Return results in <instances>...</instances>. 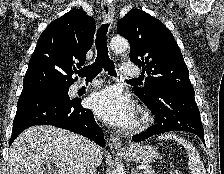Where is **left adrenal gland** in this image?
<instances>
[{"label": "left adrenal gland", "mask_w": 224, "mask_h": 174, "mask_svg": "<svg viewBox=\"0 0 224 174\" xmlns=\"http://www.w3.org/2000/svg\"><path fill=\"white\" fill-rule=\"evenodd\" d=\"M132 174H140V173H138V171L134 170V171H132Z\"/></svg>", "instance_id": "obj_1"}]
</instances>
